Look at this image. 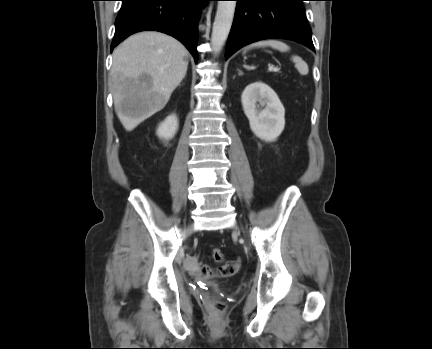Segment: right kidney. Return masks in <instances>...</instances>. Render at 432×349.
Masks as SVG:
<instances>
[{
	"mask_svg": "<svg viewBox=\"0 0 432 349\" xmlns=\"http://www.w3.org/2000/svg\"><path fill=\"white\" fill-rule=\"evenodd\" d=\"M178 130V119L175 114H171L159 125L157 136L168 141L174 137Z\"/></svg>",
	"mask_w": 432,
	"mask_h": 349,
	"instance_id": "right-kidney-1",
	"label": "right kidney"
}]
</instances>
